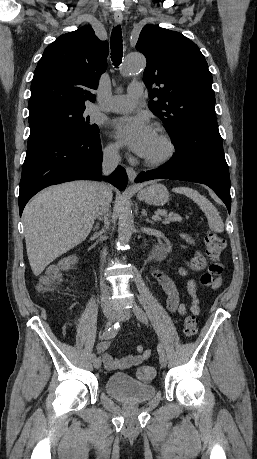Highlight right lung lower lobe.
<instances>
[{"mask_svg":"<svg viewBox=\"0 0 257 459\" xmlns=\"http://www.w3.org/2000/svg\"><path fill=\"white\" fill-rule=\"evenodd\" d=\"M102 148L99 132L72 135L61 130L31 128L19 191L20 216L26 203L50 185L72 180L101 179ZM107 180L123 190L128 177L118 166Z\"/></svg>","mask_w":257,"mask_h":459,"instance_id":"right-lung-lower-lobe-1","label":"right lung lower lobe"}]
</instances>
